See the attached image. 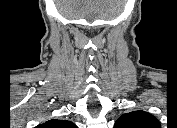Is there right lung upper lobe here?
<instances>
[{
    "label": "right lung upper lobe",
    "mask_w": 177,
    "mask_h": 128,
    "mask_svg": "<svg viewBox=\"0 0 177 128\" xmlns=\"http://www.w3.org/2000/svg\"><path fill=\"white\" fill-rule=\"evenodd\" d=\"M39 128H76L77 126L68 120L52 119L38 126Z\"/></svg>",
    "instance_id": "right-lung-upper-lobe-1"
}]
</instances>
